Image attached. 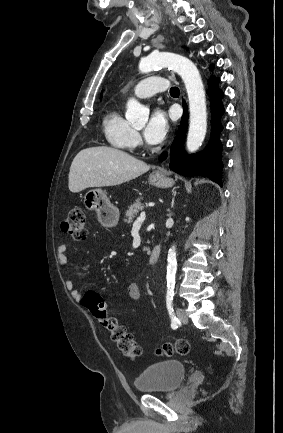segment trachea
Returning <instances> with one entry per match:
<instances>
[{
    "label": "trachea",
    "mask_w": 283,
    "mask_h": 433,
    "mask_svg": "<svg viewBox=\"0 0 283 433\" xmlns=\"http://www.w3.org/2000/svg\"><path fill=\"white\" fill-rule=\"evenodd\" d=\"M170 94L171 95H179L180 94L179 88L178 87H172L170 89Z\"/></svg>",
    "instance_id": "trachea-1"
}]
</instances>
